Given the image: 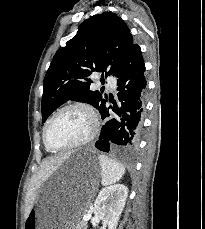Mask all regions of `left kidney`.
<instances>
[{
	"mask_svg": "<svg viewBox=\"0 0 205 229\" xmlns=\"http://www.w3.org/2000/svg\"><path fill=\"white\" fill-rule=\"evenodd\" d=\"M127 196L128 188L123 184H114L99 192L93 211L95 216L108 226V229H116Z\"/></svg>",
	"mask_w": 205,
	"mask_h": 229,
	"instance_id": "left-kidney-1",
	"label": "left kidney"
}]
</instances>
